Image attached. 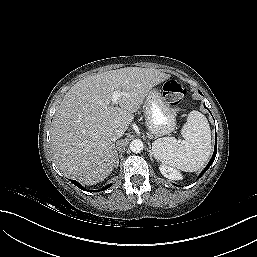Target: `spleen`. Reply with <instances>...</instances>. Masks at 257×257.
<instances>
[{
  "instance_id": "obj_1",
  "label": "spleen",
  "mask_w": 257,
  "mask_h": 257,
  "mask_svg": "<svg viewBox=\"0 0 257 257\" xmlns=\"http://www.w3.org/2000/svg\"><path fill=\"white\" fill-rule=\"evenodd\" d=\"M183 140L164 137L152 143L155 158L165 165L185 172L199 170L211 154V130L206 117L191 111L181 130Z\"/></svg>"
}]
</instances>
